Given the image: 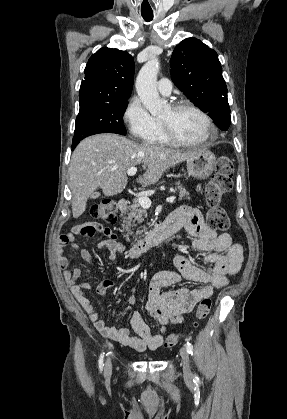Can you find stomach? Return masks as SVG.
Instances as JSON below:
<instances>
[{"label": "stomach", "mask_w": 287, "mask_h": 419, "mask_svg": "<svg viewBox=\"0 0 287 419\" xmlns=\"http://www.w3.org/2000/svg\"><path fill=\"white\" fill-rule=\"evenodd\" d=\"M216 167V157L209 150H198L193 156L187 159V171L194 178L205 180Z\"/></svg>", "instance_id": "0dacf381"}]
</instances>
